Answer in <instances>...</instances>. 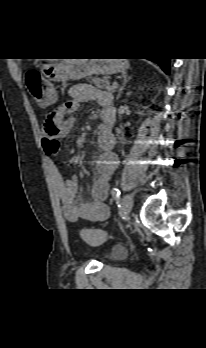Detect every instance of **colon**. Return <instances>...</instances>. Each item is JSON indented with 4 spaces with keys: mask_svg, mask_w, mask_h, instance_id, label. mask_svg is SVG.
<instances>
[{
    "mask_svg": "<svg viewBox=\"0 0 206 348\" xmlns=\"http://www.w3.org/2000/svg\"><path fill=\"white\" fill-rule=\"evenodd\" d=\"M26 86L33 97L39 102L42 99L43 91L49 88L43 81L42 75L38 70H29L25 74ZM82 239L89 244H100L106 239V234L103 231L83 229L81 231Z\"/></svg>",
    "mask_w": 206,
    "mask_h": 348,
    "instance_id": "obj_1",
    "label": "colon"
}]
</instances>
